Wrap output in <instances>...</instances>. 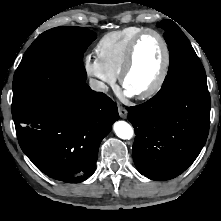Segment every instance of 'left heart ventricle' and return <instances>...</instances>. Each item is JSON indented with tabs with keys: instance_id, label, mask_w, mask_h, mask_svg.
<instances>
[{
	"instance_id": "b2bd125f",
	"label": "left heart ventricle",
	"mask_w": 221,
	"mask_h": 221,
	"mask_svg": "<svg viewBox=\"0 0 221 221\" xmlns=\"http://www.w3.org/2000/svg\"><path fill=\"white\" fill-rule=\"evenodd\" d=\"M164 52L159 39L154 35H146L139 42L135 60L126 81L125 88L133 94L147 90L157 79Z\"/></svg>"
}]
</instances>
